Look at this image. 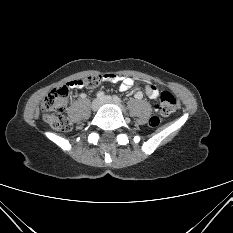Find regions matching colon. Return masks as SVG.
<instances>
[{"label": "colon", "mask_w": 233, "mask_h": 233, "mask_svg": "<svg viewBox=\"0 0 233 233\" xmlns=\"http://www.w3.org/2000/svg\"><path fill=\"white\" fill-rule=\"evenodd\" d=\"M102 76L101 74L90 75L82 80L86 88H95L103 82ZM69 91L65 85L55 88L42 102L43 119L58 131H69L72 128L71 121L63 114L69 100ZM154 104L164 116L172 114L177 108L175 96L167 91L162 92L159 97L155 98ZM158 124V116L149 119L150 127H156Z\"/></svg>", "instance_id": "1"}]
</instances>
